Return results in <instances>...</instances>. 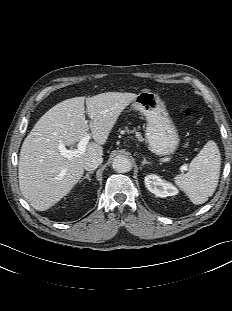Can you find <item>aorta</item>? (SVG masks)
Returning a JSON list of instances; mask_svg holds the SVG:
<instances>
[{
    "instance_id": "1",
    "label": "aorta",
    "mask_w": 232,
    "mask_h": 311,
    "mask_svg": "<svg viewBox=\"0 0 232 311\" xmlns=\"http://www.w3.org/2000/svg\"><path fill=\"white\" fill-rule=\"evenodd\" d=\"M112 167L118 173H126L131 170L132 164L126 156L118 155L113 159Z\"/></svg>"
}]
</instances>
